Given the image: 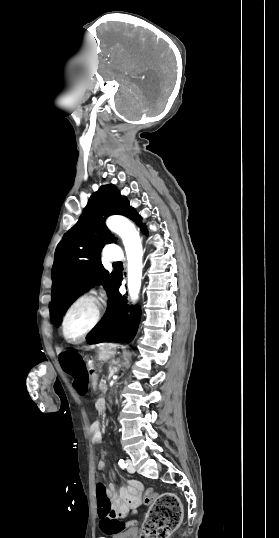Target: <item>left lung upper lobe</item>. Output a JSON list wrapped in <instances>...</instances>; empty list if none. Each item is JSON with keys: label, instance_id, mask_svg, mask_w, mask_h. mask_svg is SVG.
<instances>
[{"label": "left lung upper lobe", "instance_id": "left-lung-upper-lobe-1", "mask_svg": "<svg viewBox=\"0 0 279 538\" xmlns=\"http://www.w3.org/2000/svg\"><path fill=\"white\" fill-rule=\"evenodd\" d=\"M113 214L127 216L141 227L142 218L121 196L114 185H104L93 193L78 222L65 234L58 244L53 264V301L50 303L51 319L59 322L69 305L95 284L104 286L109 297V307L89 333L101 329L115 310L113 289L118 274L109 273L101 264L100 252L113 236L105 225V219Z\"/></svg>", "mask_w": 279, "mask_h": 538}]
</instances>
